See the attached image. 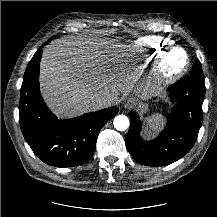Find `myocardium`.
I'll return each mask as SVG.
<instances>
[{"label":"myocardium","mask_w":217,"mask_h":217,"mask_svg":"<svg viewBox=\"0 0 217 217\" xmlns=\"http://www.w3.org/2000/svg\"><path fill=\"white\" fill-rule=\"evenodd\" d=\"M176 51H181L184 54L185 61L182 66L175 69H169L168 61ZM189 66L190 56L188 52L180 46L171 47L164 51L157 61L156 80L159 84L169 85L178 80L188 70Z\"/></svg>","instance_id":"f54148a6"}]
</instances>
